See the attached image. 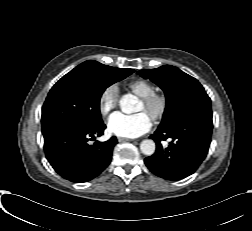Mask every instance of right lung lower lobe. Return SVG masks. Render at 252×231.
<instances>
[{
  "instance_id": "98d812e1",
  "label": "right lung lower lobe",
  "mask_w": 252,
  "mask_h": 231,
  "mask_svg": "<svg viewBox=\"0 0 252 231\" xmlns=\"http://www.w3.org/2000/svg\"><path fill=\"white\" fill-rule=\"evenodd\" d=\"M106 128L102 122L93 128L61 127L44 136L46 158L63 178L72 182H87L98 176L110 163L116 137L106 142L88 138L101 136Z\"/></svg>"
}]
</instances>
